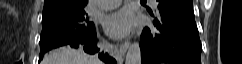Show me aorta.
Instances as JSON below:
<instances>
[{
  "mask_svg": "<svg viewBox=\"0 0 242 64\" xmlns=\"http://www.w3.org/2000/svg\"><path fill=\"white\" fill-rule=\"evenodd\" d=\"M125 64H141V49L139 42H134L129 46Z\"/></svg>",
  "mask_w": 242,
  "mask_h": 64,
  "instance_id": "762f6f07",
  "label": "aorta"
}]
</instances>
